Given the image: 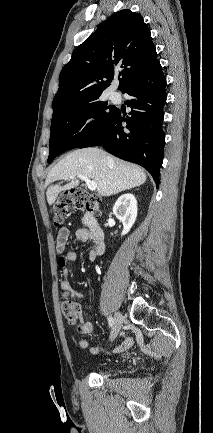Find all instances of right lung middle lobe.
Returning <instances> with one entry per match:
<instances>
[{"label":"right lung middle lobe","mask_w":213,"mask_h":433,"mask_svg":"<svg viewBox=\"0 0 213 433\" xmlns=\"http://www.w3.org/2000/svg\"><path fill=\"white\" fill-rule=\"evenodd\" d=\"M110 109L109 111H106ZM115 109L95 97L61 110L51 120L48 163L62 152L77 148L103 130Z\"/></svg>","instance_id":"obj_1"}]
</instances>
